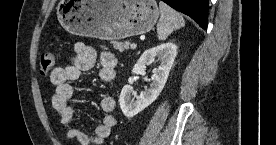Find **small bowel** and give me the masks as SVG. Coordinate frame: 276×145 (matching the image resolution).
I'll use <instances>...</instances> for the list:
<instances>
[{
	"label": "small bowel",
	"instance_id": "small-bowel-1",
	"mask_svg": "<svg viewBox=\"0 0 276 145\" xmlns=\"http://www.w3.org/2000/svg\"><path fill=\"white\" fill-rule=\"evenodd\" d=\"M95 60V50L79 42L74 45V55L70 64L54 68L49 75L50 82L55 87L52 106L62 125L67 128V138L76 139L81 145L104 144L117 124L114 115L115 101L110 96H104L100 101L101 110L105 114L104 121L96 127L93 134L84 132L74 124L75 109L70 103L74 89L70 82L79 79L83 72L90 70L94 66ZM99 64L98 79L104 84L113 83L117 65L115 55L110 52H102L99 57Z\"/></svg>",
	"mask_w": 276,
	"mask_h": 145
}]
</instances>
